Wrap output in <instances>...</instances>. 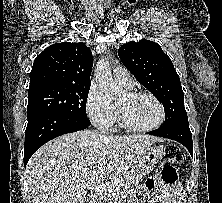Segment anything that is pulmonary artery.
I'll return each mask as SVG.
<instances>
[{
  "label": "pulmonary artery",
  "mask_w": 222,
  "mask_h": 203,
  "mask_svg": "<svg viewBox=\"0 0 222 203\" xmlns=\"http://www.w3.org/2000/svg\"><path fill=\"white\" fill-rule=\"evenodd\" d=\"M113 78L115 82L124 88H131L132 79L127 69L123 67H117L113 70Z\"/></svg>",
  "instance_id": "pulmonary-artery-1"
}]
</instances>
